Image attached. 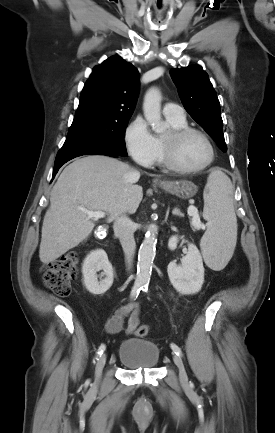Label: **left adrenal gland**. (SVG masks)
<instances>
[{
    "mask_svg": "<svg viewBox=\"0 0 275 433\" xmlns=\"http://www.w3.org/2000/svg\"><path fill=\"white\" fill-rule=\"evenodd\" d=\"M172 214L173 215H176V216H183V214L180 212V210L178 209V208H175L173 211H172Z\"/></svg>",
    "mask_w": 275,
    "mask_h": 433,
    "instance_id": "1",
    "label": "left adrenal gland"
}]
</instances>
